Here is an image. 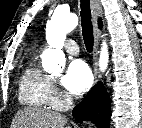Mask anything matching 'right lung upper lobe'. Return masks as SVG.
<instances>
[{
    "mask_svg": "<svg viewBox=\"0 0 142 128\" xmlns=\"http://www.w3.org/2000/svg\"><path fill=\"white\" fill-rule=\"evenodd\" d=\"M99 27H100V28L102 27V22H101V20H99Z\"/></svg>",
    "mask_w": 142,
    "mask_h": 128,
    "instance_id": "right-lung-upper-lobe-1",
    "label": "right lung upper lobe"
}]
</instances>
